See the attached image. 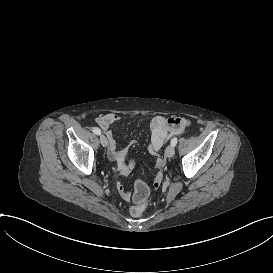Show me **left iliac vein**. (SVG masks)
I'll return each instance as SVG.
<instances>
[{
  "mask_svg": "<svg viewBox=\"0 0 273 273\" xmlns=\"http://www.w3.org/2000/svg\"><path fill=\"white\" fill-rule=\"evenodd\" d=\"M175 154V149L172 145H169L165 150V155L168 158H172Z\"/></svg>",
  "mask_w": 273,
  "mask_h": 273,
  "instance_id": "1",
  "label": "left iliac vein"
}]
</instances>
